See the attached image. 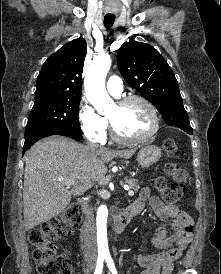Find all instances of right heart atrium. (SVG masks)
Returning a JSON list of instances; mask_svg holds the SVG:
<instances>
[{"label":"right heart atrium","mask_w":221,"mask_h":274,"mask_svg":"<svg viewBox=\"0 0 221 274\" xmlns=\"http://www.w3.org/2000/svg\"><path fill=\"white\" fill-rule=\"evenodd\" d=\"M80 127L91 141L102 142L107 133L108 122L106 118L99 115L86 99H82L78 108Z\"/></svg>","instance_id":"d8ad5b80"}]
</instances>
